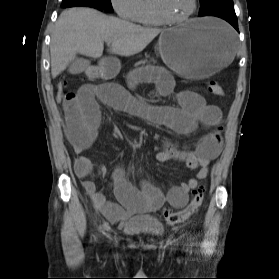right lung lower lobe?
<instances>
[{
    "label": "right lung lower lobe",
    "instance_id": "98d812e1",
    "mask_svg": "<svg viewBox=\"0 0 279 279\" xmlns=\"http://www.w3.org/2000/svg\"><path fill=\"white\" fill-rule=\"evenodd\" d=\"M74 6H88L92 8H96L99 10H103L96 2L93 0H63L62 7H74Z\"/></svg>",
    "mask_w": 279,
    "mask_h": 279
}]
</instances>
